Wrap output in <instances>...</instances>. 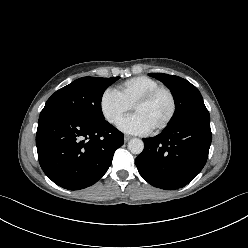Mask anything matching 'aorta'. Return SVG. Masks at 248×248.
Listing matches in <instances>:
<instances>
[{"mask_svg": "<svg viewBox=\"0 0 248 248\" xmlns=\"http://www.w3.org/2000/svg\"><path fill=\"white\" fill-rule=\"evenodd\" d=\"M128 149L133 154H140L144 149V143L141 139L133 138L128 142Z\"/></svg>", "mask_w": 248, "mask_h": 248, "instance_id": "obj_1", "label": "aorta"}]
</instances>
